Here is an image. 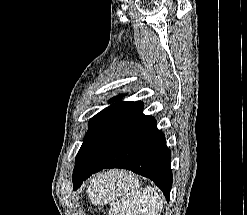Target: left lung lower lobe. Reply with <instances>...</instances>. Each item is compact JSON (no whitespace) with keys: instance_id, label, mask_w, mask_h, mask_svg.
Masks as SVG:
<instances>
[{"instance_id":"1","label":"left lung lower lobe","mask_w":247,"mask_h":215,"mask_svg":"<svg viewBox=\"0 0 247 215\" xmlns=\"http://www.w3.org/2000/svg\"><path fill=\"white\" fill-rule=\"evenodd\" d=\"M133 105L97 139L84 142L73 170L74 190L92 174L106 168H123L151 179L170 199L171 151L152 116Z\"/></svg>"}]
</instances>
